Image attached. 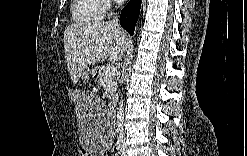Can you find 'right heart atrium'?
Listing matches in <instances>:
<instances>
[{
  "label": "right heart atrium",
  "mask_w": 247,
  "mask_h": 156,
  "mask_svg": "<svg viewBox=\"0 0 247 156\" xmlns=\"http://www.w3.org/2000/svg\"><path fill=\"white\" fill-rule=\"evenodd\" d=\"M103 5H104V11H106L112 5V2L111 1H105V2H103Z\"/></svg>",
  "instance_id": "right-heart-atrium-1"
}]
</instances>
